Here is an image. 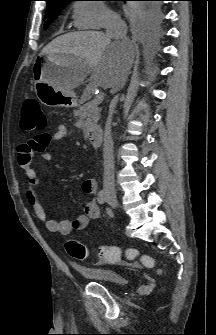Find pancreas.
<instances>
[{
    "instance_id": "1",
    "label": "pancreas",
    "mask_w": 216,
    "mask_h": 335,
    "mask_svg": "<svg viewBox=\"0 0 216 335\" xmlns=\"http://www.w3.org/2000/svg\"><path fill=\"white\" fill-rule=\"evenodd\" d=\"M91 96V89L87 88L81 99L79 100L78 110L75 111L76 115L84 118L83 131L86 133L88 129L97 124L100 116V108L96 106L90 107L91 102H87Z\"/></svg>"
}]
</instances>
